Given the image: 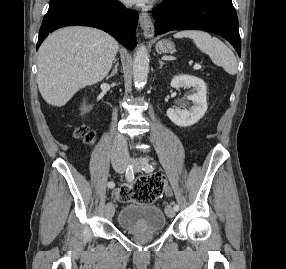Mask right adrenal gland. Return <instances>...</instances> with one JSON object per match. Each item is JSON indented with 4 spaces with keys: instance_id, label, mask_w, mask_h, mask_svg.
Instances as JSON below:
<instances>
[{
    "instance_id": "right-adrenal-gland-1",
    "label": "right adrenal gland",
    "mask_w": 286,
    "mask_h": 269,
    "mask_svg": "<svg viewBox=\"0 0 286 269\" xmlns=\"http://www.w3.org/2000/svg\"><path fill=\"white\" fill-rule=\"evenodd\" d=\"M114 63H115L114 68L112 69V72H111V74L109 75V77L114 76V75L117 74V72H118L119 63H118V61H117L116 59L114 60Z\"/></svg>"
}]
</instances>
